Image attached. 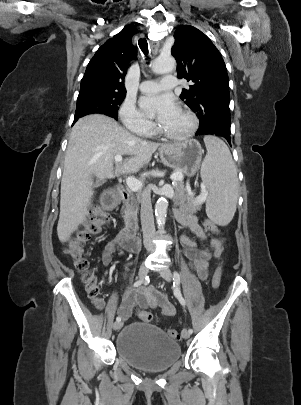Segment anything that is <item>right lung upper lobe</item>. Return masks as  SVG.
Wrapping results in <instances>:
<instances>
[{
  "mask_svg": "<svg viewBox=\"0 0 301 405\" xmlns=\"http://www.w3.org/2000/svg\"><path fill=\"white\" fill-rule=\"evenodd\" d=\"M135 33L137 31L133 28H124L97 50L81 80L79 94L88 92L126 94L124 78L127 65L137 55V49L131 42Z\"/></svg>",
  "mask_w": 301,
  "mask_h": 405,
  "instance_id": "1",
  "label": "right lung upper lobe"
}]
</instances>
